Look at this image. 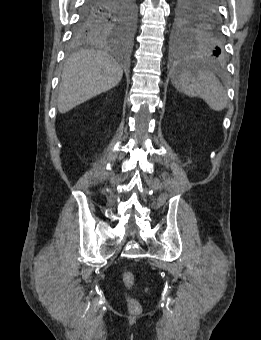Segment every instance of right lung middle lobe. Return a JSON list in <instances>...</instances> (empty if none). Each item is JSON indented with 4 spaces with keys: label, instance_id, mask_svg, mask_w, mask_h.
I'll use <instances>...</instances> for the list:
<instances>
[{
    "label": "right lung middle lobe",
    "instance_id": "1",
    "mask_svg": "<svg viewBox=\"0 0 261 340\" xmlns=\"http://www.w3.org/2000/svg\"><path fill=\"white\" fill-rule=\"evenodd\" d=\"M135 0H126L124 8L113 13L100 15L84 25H77L73 31L72 45L104 42L111 40L128 41L135 28Z\"/></svg>",
    "mask_w": 261,
    "mask_h": 340
}]
</instances>
